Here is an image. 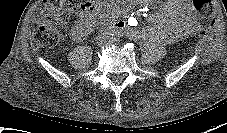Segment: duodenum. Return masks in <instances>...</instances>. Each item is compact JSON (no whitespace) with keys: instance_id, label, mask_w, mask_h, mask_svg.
<instances>
[{"instance_id":"duodenum-1","label":"duodenum","mask_w":227,"mask_h":133,"mask_svg":"<svg viewBox=\"0 0 227 133\" xmlns=\"http://www.w3.org/2000/svg\"><path fill=\"white\" fill-rule=\"evenodd\" d=\"M123 29V26L122 24H120L119 22H105L103 25H102V30L104 32H118L120 30Z\"/></svg>"}]
</instances>
